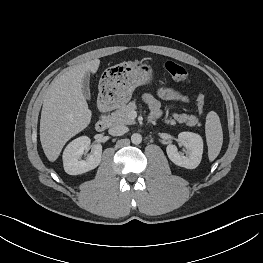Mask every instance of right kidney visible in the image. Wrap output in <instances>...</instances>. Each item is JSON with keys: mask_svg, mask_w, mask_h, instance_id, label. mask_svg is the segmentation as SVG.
Here are the masks:
<instances>
[{"mask_svg": "<svg viewBox=\"0 0 263 263\" xmlns=\"http://www.w3.org/2000/svg\"><path fill=\"white\" fill-rule=\"evenodd\" d=\"M90 146V139L81 136L71 141L63 152V166L69 175H79L95 169L101 162L102 146L95 144L92 146L91 155L86 160H81L84 150Z\"/></svg>", "mask_w": 263, "mask_h": 263, "instance_id": "ca27d5eb", "label": "right kidney"}]
</instances>
